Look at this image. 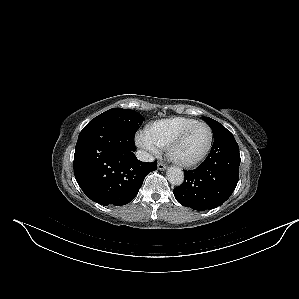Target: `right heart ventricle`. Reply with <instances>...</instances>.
Wrapping results in <instances>:
<instances>
[{
    "label": "right heart ventricle",
    "instance_id": "1",
    "mask_svg": "<svg viewBox=\"0 0 299 299\" xmlns=\"http://www.w3.org/2000/svg\"><path fill=\"white\" fill-rule=\"evenodd\" d=\"M195 122V119L186 117L160 119L150 123L146 133L160 148H166L178 133Z\"/></svg>",
    "mask_w": 299,
    "mask_h": 299
}]
</instances>
